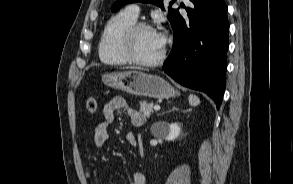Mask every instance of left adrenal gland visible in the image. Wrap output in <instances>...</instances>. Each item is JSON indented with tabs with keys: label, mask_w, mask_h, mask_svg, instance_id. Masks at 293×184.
Segmentation results:
<instances>
[{
	"label": "left adrenal gland",
	"mask_w": 293,
	"mask_h": 184,
	"mask_svg": "<svg viewBox=\"0 0 293 184\" xmlns=\"http://www.w3.org/2000/svg\"><path fill=\"white\" fill-rule=\"evenodd\" d=\"M178 108L177 107H172L171 109H169L167 112L162 113V115H164L165 113H170L171 111H177Z\"/></svg>",
	"instance_id": "a2214340"
}]
</instances>
